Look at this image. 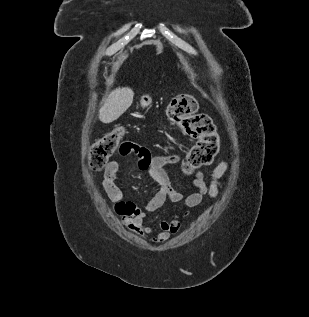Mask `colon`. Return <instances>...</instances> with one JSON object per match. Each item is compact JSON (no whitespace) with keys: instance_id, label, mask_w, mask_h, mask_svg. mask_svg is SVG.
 Listing matches in <instances>:
<instances>
[{"instance_id":"colon-1","label":"colon","mask_w":309,"mask_h":317,"mask_svg":"<svg viewBox=\"0 0 309 317\" xmlns=\"http://www.w3.org/2000/svg\"><path fill=\"white\" fill-rule=\"evenodd\" d=\"M198 108L197 99L189 94L174 97L167 106L169 119L196 139V143L188 150L182 163L185 174H191L196 169L211 164L219 150L216 127L210 117L197 114ZM123 135V127H117L90 146L88 164L92 170L103 169L118 147L121 153L131 150L132 143H121Z\"/></svg>"}]
</instances>
